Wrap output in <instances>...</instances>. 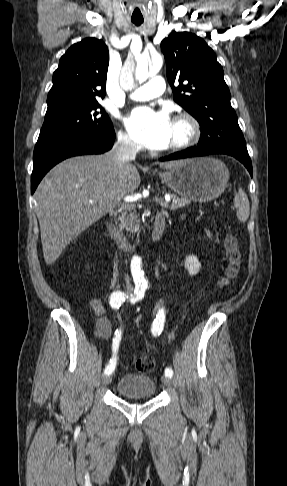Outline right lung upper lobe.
I'll return each instance as SVG.
<instances>
[{"instance_id":"obj_1","label":"right lung upper lobe","mask_w":287,"mask_h":486,"mask_svg":"<svg viewBox=\"0 0 287 486\" xmlns=\"http://www.w3.org/2000/svg\"><path fill=\"white\" fill-rule=\"evenodd\" d=\"M108 64V48L102 40L86 38L72 45L53 74L48 107L104 98Z\"/></svg>"}]
</instances>
